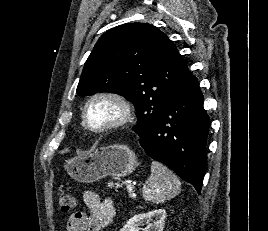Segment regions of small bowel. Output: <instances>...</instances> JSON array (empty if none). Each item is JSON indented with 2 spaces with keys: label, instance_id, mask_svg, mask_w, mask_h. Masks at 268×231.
Listing matches in <instances>:
<instances>
[{
  "label": "small bowel",
  "instance_id": "c3829d8e",
  "mask_svg": "<svg viewBox=\"0 0 268 231\" xmlns=\"http://www.w3.org/2000/svg\"><path fill=\"white\" fill-rule=\"evenodd\" d=\"M88 212H75L67 222V231H103L115 216L114 203L110 199H101L94 191H84L82 195Z\"/></svg>",
  "mask_w": 268,
  "mask_h": 231
}]
</instances>
